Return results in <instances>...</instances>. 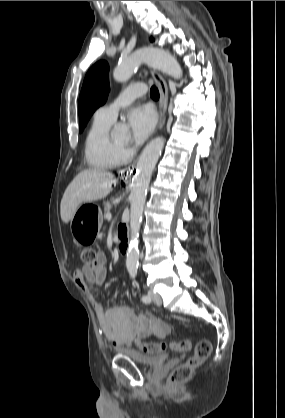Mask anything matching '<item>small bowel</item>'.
Listing matches in <instances>:
<instances>
[{"label":"small bowel","instance_id":"obj_1","mask_svg":"<svg viewBox=\"0 0 285 418\" xmlns=\"http://www.w3.org/2000/svg\"><path fill=\"white\" fill-rule=\"evenodd\" d=\"M106 262L105 255L100 252L92 264L84 265L73 275L76 284L89 294L103 335L116 347L130 346L135 337L165 338L171 331L169 324L151 313L136 314L125 306L104 309L93 288L106 284Z\"/></svg>","mask_w":285,"mask_h":418}]
</instances>
